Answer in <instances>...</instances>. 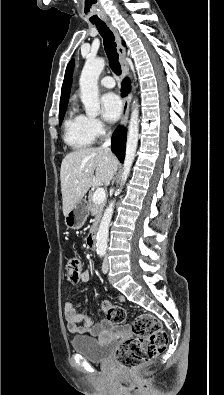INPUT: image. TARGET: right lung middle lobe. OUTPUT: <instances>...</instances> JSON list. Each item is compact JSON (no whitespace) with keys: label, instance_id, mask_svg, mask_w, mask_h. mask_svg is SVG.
I'll list each match as a JSON object with an SVG mask.
<instances>
[{"label":"right lung middle lobe","instance_id":"obj_1","mask_svg":"<svg viewBox=\"0 0 224 395\" xmlns=\"http://www.w3.org/2000/svg\"><path fill=\"white\" fill-rule=\"evenodd\" d=\"M65 111H66V108L60 110V113H59V125H61V123H62V120H63V118H64Z\"/></svg>","mask_w":224,"mask_h":395}]
</instances>
